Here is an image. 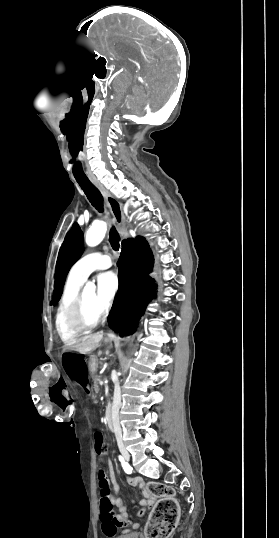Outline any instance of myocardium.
Here are the masks:
<instances>
[{
    "label": "myocardium",
    "instance_id": "1",
    "mask_svg": "<svg viewBox=\"0 0 279 538\" xmlns=\"http://www.w3.org/2000/svg\"><path fill=\"white\" fill-rule=\"evenodd\" d=\"M103 318V313L92 315L88 312L85 291L83 290L69 306L65 316V324L72 332L85 333L98 326Z\"/></svg>",
    "mask_w": 279,
    "mask_h": 538
}]
</instances>
